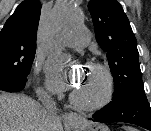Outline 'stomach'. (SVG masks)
I'll return each instance as SVG.
<instances>
[{
  "mask_svg": "<svg viewBox=\"0 0 151 131\" xmlns=\"http://www.w3.org/2000/svg\"><path fill=\"white\" fill-rule=\"evenodd\" d=\"M74 131H109L104 124L99 123H80L72 126Z\"/></svg>",
  "mask_w": 151,
  "mask_h": 131,
  "instance_id": "stomach-1",
  "label": "stomach"
}]
</instances>
